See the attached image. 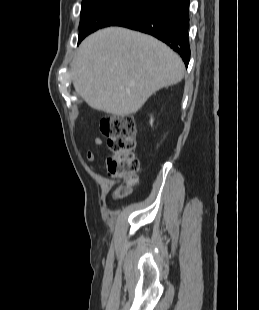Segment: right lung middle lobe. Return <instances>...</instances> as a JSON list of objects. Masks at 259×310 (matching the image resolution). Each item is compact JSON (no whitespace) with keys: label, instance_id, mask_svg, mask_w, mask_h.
I'll list each match as a JSON object with an SVG mask.
<instances>
[{"label":"right lung middle lobe","instance_id":"1","mask_svg":"<svg viewBox=\"0 0 259 310\" xmlns=\"http://www.w3.org/2000/svg\"><path fill=\"white\" fill-rule=\"evenodd\" d=\"M157 0H106L99 4L82 8L78 42L94 31L114 26L118 21L140 11Z\"/></svg>","mask_w":259,"mask_h":310}]
</instances>
